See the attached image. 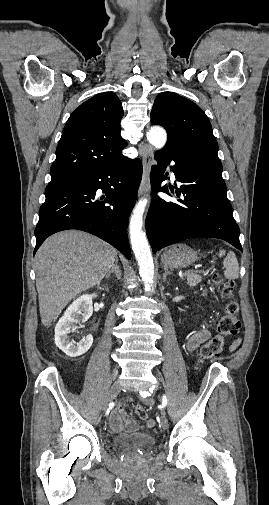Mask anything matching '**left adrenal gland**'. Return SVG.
Instances as JSON below:
<instances>
[{"instance_id": "obj_1", "label": "left adrenal gland", "mask_w": 269, "mask_h": 505, "mask_svg": "<svg viewBox=\"0 0 269 505\" xmlns=\"http://www.w3.org/2000/svg\"><path fill=\"white\" fill-rule=\"evenodd\" d=\"M170 274H173V273L170 272L167 268H164V274H163V281L164 282L166 281L167 275H170Z\"/></svg>"}]
</instances>
